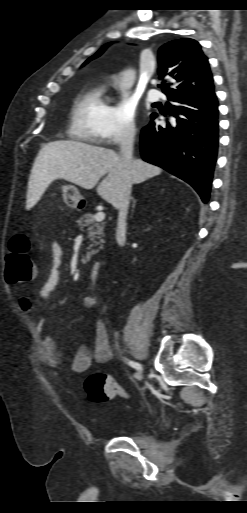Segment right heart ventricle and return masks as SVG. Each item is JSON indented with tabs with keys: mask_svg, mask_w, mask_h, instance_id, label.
Instances as JSON below:
<instances>
[{
	"mask_svg": "<svg viewBox=\"0 0 247 513\" xmlns=\"http://www.w3.org/2000/svg\"><path fill=\"white\" fill-rule=\"evenodd\" d=\"M109 108L103 84H95L81 91L72 106L69 136L87 143H101Z\"/></svg>",
	"mask_w": 247,
	"mask_h": 513,
	"instance_id": "right-heart-ventricle-1",
	"label": "right heart ventricle"
}]
</instances>
